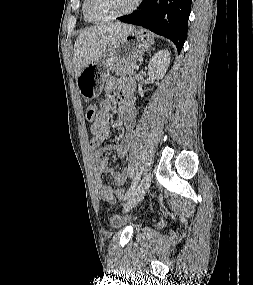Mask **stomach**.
<instances>
[{"label": "stomach", "mask_w": 253, "mask_h": 285, "mask_svg": "<svg viewBox=\"0 0 253 285\" xmlns=\"http://www.w3.org/2000/svg\"><path fill=\"white\" fill-rule=\"evenodd\" d=\"M153 43V35L145 29L134 28L128 31L115 45L78 75L76 85L80 95L85 100L97 98L113 67L135 61Z\"/></svg>", "instance_id": "1"}]
</instances>
